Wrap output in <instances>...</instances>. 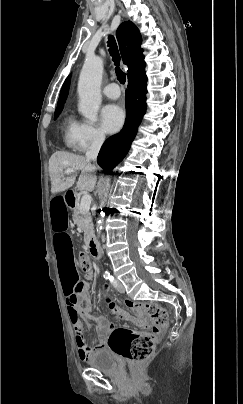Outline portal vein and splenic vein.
Masks as SVG:
<instances>
[{
	"label": "portal vein and splenic vein",
	"instance_id": "18ae733b",
	"mask_svg": "<svg viewBox=\"0 0 243 404\" xmlns=\"http://www.w3.org/2000/svg\"><path fill=\"white\" fill-rule=\"evenodd\" d=\"M74 170H65L64 174H72ZM91 196L89 194H83L80 202V210H82V215L88 216L91 204Z\"/></svg>",
	"mask_w": 243,
	"mask_h": 404
}]
</instances>
